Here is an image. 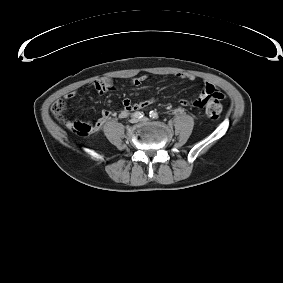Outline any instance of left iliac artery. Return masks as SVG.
Listing matches in <instances>:
<instances>
[{
  "label": "left iliac artery",
  "mask_w": 283,
  "mask_h": 283,
  "mask_svg": "<svg viewBox=\"0 0 283 283\" xmlns=\"http://www.w3.org/2000/svg\"><path fill=\"white\" fill-rule=\"evenodd\" d=\"M149 116L152 119H157L158 118V113L156 111H150Z\"/></svg>",
  "instance_id": "obj_1"
}]
</instances>
